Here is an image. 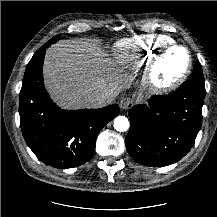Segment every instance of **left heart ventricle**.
Instances as JSON below:
<instances>
[{"instance_id": "1", "label": "left heart ventricle", "mask_w": 217, "mask_h": 217, "mask_svg": "<svg viewBox=\"0 0 217 217\" xmlns=\"http://www.w3.org/2000/svg\"><path fill=\"white\" fill-rule=\"evenodd\" d=\"M187 56L182 50L170 52L160 65L158 79L160 82H167L178 75L186 66Z\"/></svg>"}]
</instances>
